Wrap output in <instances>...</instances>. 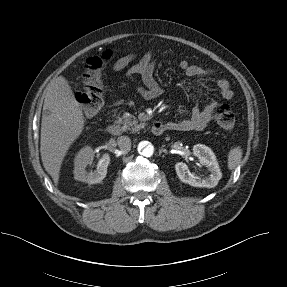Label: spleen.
<instances>
[{
	"instance_id": "3e777b00",
	"label": "spleen",
	"mask_w": 287,
	"mask_h": 287,
	"mask_svg": "<svg viewBox=\"0 0 287 287\" xmlns=\"http://www.w3.org/2000/svg\"><path fill=\"white\" fill-rule=\"evenodd\" d=\"M242 149L241 147H234L229 151L228 154V168L229 170H234L241 162L242 159Z\"/></svg>"
}]
</instances>
